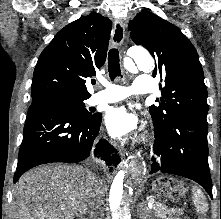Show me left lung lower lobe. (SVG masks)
<instances>
[{
    "instance_id": "obj_1",
    "label": "left lung lower lobe",
    "mask_w": 221,
    "mask_h": 219,
    "mask_svg": "<svg viewBox=\"0 0 221 219\" xmlns=\"http://www.w3.org/2000/svg\"><path fill=\"white\" fill-rule=\"evenodd\" d=\"M208 126L180 116L164 128H155L151 172L179 175L200 184L212 198L208 165Z\"/></svg>"
}]
</instances>
